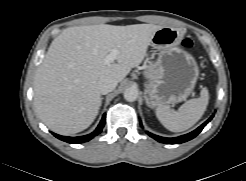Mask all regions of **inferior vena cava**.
Returning a JSON list of instances; mask_svg holds the SVG:
<instances>
[{
    "label": "inferior vena cava",
    "instance_id": "inferior-vena-cava-1",
    "mask_svg": "<svg viewBox=\"0 0 246 181\" xmlns=\"http://www.w3.org/2000/svg\"><path fill=\"white\" fill-rule=\"evenodd\" d=\"M97 86L101 94H107L115 89L117 81L111 76H102L99 79Z\"/></svg>",
    "mask_w": 246,
    "mask_h": 181
}]
</instances>
